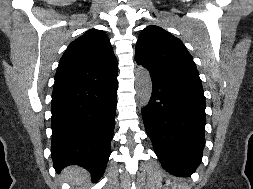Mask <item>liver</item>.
Here are the masks:
<instances>
[{
    "instance_id": "1",
    "label": "liver",
    "mask_w": 253,
    "mask_h": 189,
    "mask_svg": "<svg viewBox=\"0 0 253 189\" xmlns=\"http://www.w3.org/2000/svg\"><path fill=\"white\" fill-rule=\"evenodd\" d=\"M63 176L72 184L80 185L87 177L86 171L83 169L72 166L63 171Z\"/></svg>"
}]
</instances>
